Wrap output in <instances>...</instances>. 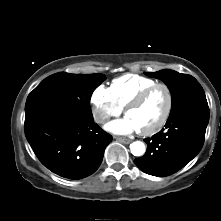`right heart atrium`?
<instances>
[{"label": "right heart atrium", "instance_id": "obj_1", "mask_svg": "<svg viewBox=\"0 0 221 221\" xmlns=\"http://www.w3.org/2000/svg\"><path fill=\"white\" fill-rule=\"evenodd\" d=\"M90 102L93 118L99 124H105L110 118L119 116L122 112L111 89L103 84L93 90Z\"/></svg>", "mask_w": 221, "mask_h": 221}]
</instances>
